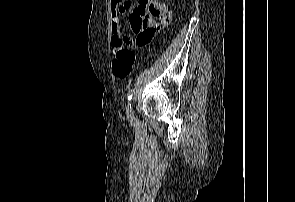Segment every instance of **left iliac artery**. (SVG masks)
Returning a JSON list of instances; mask_svg holds the SVG:
<instances>
[{
	"label": "left iliac artery",
	"instance_id": "left-iliac-artery-1",
	"mask_svg": "<svg viewBox=\"0 0 295 202\" xmlns=\"http://www.w3.org/2000/svg\"><path fill=\"white\" fill-rule=\"evenodd\" d=\"M133 92H134L133 89H129V91H128V93H127V100H128V101H131L132 96H133Z\"/></svg>",
	"mask_w": 295,
	"mask_h": 202
}]
</instances>
